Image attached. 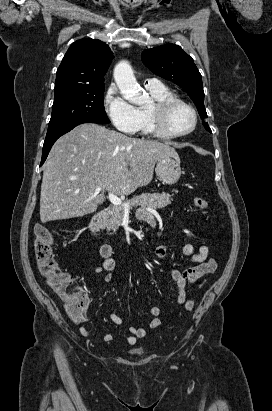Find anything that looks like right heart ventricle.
<instances>
[{
    "label": "right heart ventricle",
    "instance_id": "1",
    "mask_svg": "<svg viewBox=\"0 0 272 411\" xmlns=\"http://www.w3.org/2000/svg\"><path fill=\"white\" fill-rule=\"evenodd\" d=\"M147 89L151 96L153 97L154 101H160L163 99L174 97L172 91L164 85L159 86H147ZM149 107H140L138 108L139 116H140V123L139 129L144 134L151 135L153 134L152 125L150 122V118L148 115Z\"/></svg>",
    "mask_w": 272,
    "mask_h": 411
}]
</instances>
